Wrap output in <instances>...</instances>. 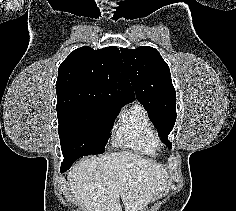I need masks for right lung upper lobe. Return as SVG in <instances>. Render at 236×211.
<instances>
[{
	"mask_svg": "<svg viewBox=\"0 0 236 211\" xmlns=\"http://www.w3.org/2000/svg\"><path fill=\"white\" fill-rule=\"evenodd\" d=\"M57 106L121 108L134 99L116 47L74 50L58 69Z\"/></svg>",
	"mask_w": 236,
	"mask_h": 211,
	"instance_id": "right-lung-upper-lobe-1",
	"label": "right lung upper lobe"
}]
</instances>
